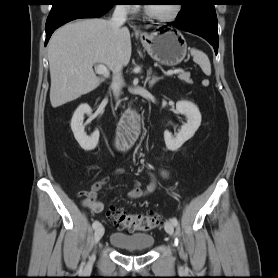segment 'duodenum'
Listing matches in <instances>:
<instances>
[{"label":"duodenum","mask_w":278,"mask_h":278,"mask_svg":"<svg viewBox=\"0 0 278 278\" xmlns=\"http://www.w3.org/2000/svg\"><path fill=\"white\" fill-rule=\"evenodd\" d=\"M142 125L140 116L130 111L124 115L118 123L117 140L122 146L124 144L133 142L139 135Z\"/></svg>","instance_id":"410a0bca"}]
</instances>
